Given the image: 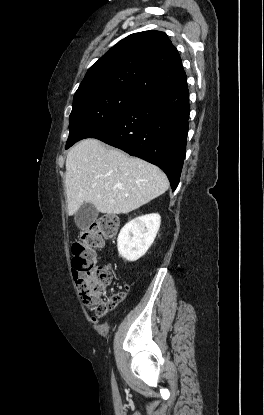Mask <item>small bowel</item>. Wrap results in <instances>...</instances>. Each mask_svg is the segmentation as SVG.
<instances>
[{
  "label": "small bowel",
  "instance_id": "small-bowel-1",
  "mask_svg": "<svg viewBox=\"0 0 264 415\" xmlns=\"http://www.w3.org/2000/svg\"><path fill=\"white\" fill-rule=\"evenodd\" d=\"M73 277H74L75 280L78 279V275L77 274H73Z\"/></svg>",
  "mask_w": 264,
  "mask_h": 415
}]
</instances>
